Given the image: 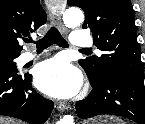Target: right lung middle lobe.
Segmentation results:
<instances>
[{"label":"right lung middle lobe","instance_id":"right-lung-middle-lobe-1","mask_svg":"<svg viewBox=\"0 0 145 124\" xmlns=\"http://www.w3.org/2000/svg\"><path fill=\"white\" fill-rule=\"evenodd\" d=\"M19 55H12L9 53H5V52H0V64L4 63V64H8L12 67H16V64L13 62V60L15 58H17Z\"/></svg>","mask_w":145,"mask_h":124}]
</instances>
